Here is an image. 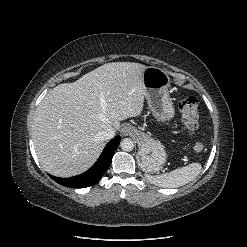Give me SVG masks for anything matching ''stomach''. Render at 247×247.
Listing matches in <instances>:
<instances>
[{"label":"stomach","mask_w":247,"mask_h":247,"mask_svg":"<svg viewBox=\"0 0 247 247\" xmlns=\"http://www.w3.org/2000/svg\"><path fill=\"white\" fill-rule=\"evenodd\" d=\"M145 97L154 117L159 122L172 119L175 115L173 102L169 96L170 78L168 72L158 67H146L142 73ZM139 145L138 162L146 173H158L167 161L165 148L153 138L137 130Z\"/></svg>","instance_id":"1"}]
</instances>
